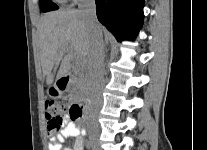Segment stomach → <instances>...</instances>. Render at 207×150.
<instances>
[{"label": "stomach", "mask_w": 207, "mask_h": 150, "mask_svg": "<svg viewBox=\"0 0 207 150\" xmlns=\"http://www.w3.org/2000/svg\"><path fill=\"white\" fill-rule=\"evenodd\" d=\"M47 93L52 97L56 98L61 96L63 92L58 88L57 84L55 83L54 85L48 88Z\"/></svg>", "instance_id": "1"}]
</instances>
